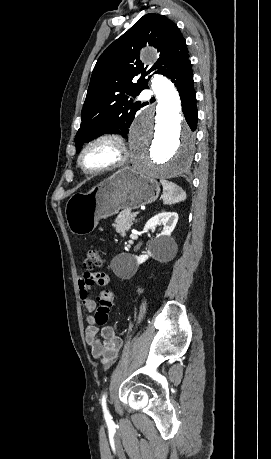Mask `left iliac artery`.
Segmentation results:
<instances>
[{
	"instance_id": "obj_1",
	"label": "left iliac artery",
	"mask_w": 271,
	"mask_h": 459,
	"mask_svg": "<svg viewBox=\"0 0 271 459\" xmlns=\"http://www.w3.org/2000/svg\"><path fill=\"white\" fill-rule=\"evenodd\" d=\"M102 407H103L105 418L109 419L111 416H110L109 411L107 410V407H106L105 395H103V397H102Z\"/></svg>"
}]
</instances>
